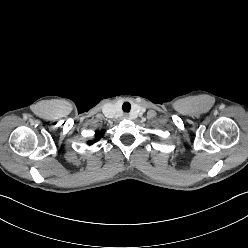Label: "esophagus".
Segmentation results:
<instances>
[{"mask_svg":"<svg viewBox=\"0 0 248 248\" xmlns=\"http://www.w3.org/2000/svg\"><path fill=\"white\" fill-rule=\"evenodd\" d=\"M124 118H125V119H129V118H130L129 114H127V113L124 114Z\"/></svg>","mask_w":248,"mask_h":248,"instance_id":"34e87169","label":"esophagus"}]
</instances>
